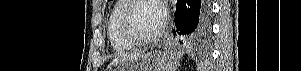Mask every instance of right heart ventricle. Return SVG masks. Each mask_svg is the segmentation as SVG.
I'll return each mask as SVG.
<instances>
[{"instance_id":"e07e8e85","label":"right heart ventricle","mask_w":301,"mask_h":71,"mask_svg":"<svg viewBox=\"0 0 301 71\" xmlns=\"http://www.w3.org/2000/svg\"><path fill=\"white\" fill-rule=\"evenodd\" d=\"M128 2V0L117 1L113 6L108 19V38L112 48L117 52H125L135 46L122 36L120 30V17Z\"/></svg>"}]
</instances>
